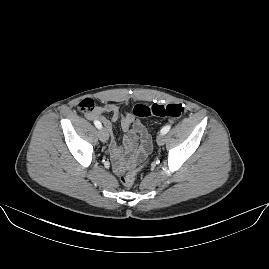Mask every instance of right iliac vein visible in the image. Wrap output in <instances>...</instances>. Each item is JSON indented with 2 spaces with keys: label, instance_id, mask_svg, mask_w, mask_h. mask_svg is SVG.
<instances>
[{
  "label": "right iliac vein",
  "instance_id": "63e3f726",
  "mask_svg": "<svg viewBox=\"0 0 269 269\" xmlns=\"http://www.w3.org/2000/svg\"><path fill=\"white\" fill-rule=\"evenodd\" d=\"M99 139L102 142H106L109 138V134L106 128H101L98 132Z\"/></svg>",
  "mask_w": 269,
  "mask_h": 269
}]
</instances>
